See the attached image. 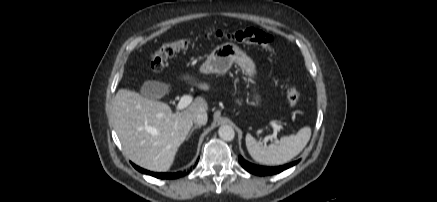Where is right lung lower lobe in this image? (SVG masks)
Masks as SVG:
<instances>
[{"label":"right lung lower lobe","mask_w":437,"mask_h":202,"mask_svg":"<svg viewBox=\"0 0 437 202\" xmlns=\"http://www.w3.org/2000/svg\"><path fill=\"white\" fill-rule=\"evenodd\" d=\"M197 162H198V160H197ZM132 165H133V166H134L138 171H140V172H142V173H145V174H148V175L154 176V177H156V178H161V179H175V178H178V177H181V176L186 175V172H185V171H184V172H177V173H154V172H150V171H147V170H145V169H142V168H140V167L134 165L133 163H132ZM194 167H195V166H194ZM190 170H192V168H191ZM187 173H189V171H188Z\"/></svg>","instance_id":"1"}]
</instances>
